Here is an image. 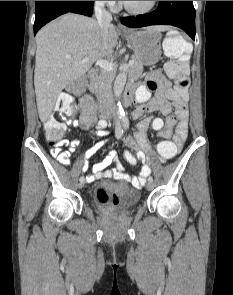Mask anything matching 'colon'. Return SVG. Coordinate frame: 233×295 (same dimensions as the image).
Listing matches in <instances>:
<instances>
[{"mask_svg": "<svg viewBox=\"0 0 233 295\" xmlns=\"http://www.w3.org/2000/svg\"><path fill=\"white\" fill-rule=\"evenodd\" d=\"M163 50L167 57L165 71L175 82L172 88L174 94L187 92L190 85L188 64L192 53L190 41L183 34L170 31L164 38ZM85 86L86 79L79 78L67 88L68 93H63L58 97L53 113L44 124L46 138L50 145L56 146L60 144V140L67 128L61 118L63 116H71L74 113L71 94H81ZM159 135L165 139L158 144L159 154L165 159L173 157L177 152V148L172 141L167 140L170 130L165 128ZM123 158L129 166H135L137 164L136 156L128 150L124 151ZM98 199L101 203H107L109 196L104 190L100 189Z\"/></svg>", "mask_w": 233, "mask_h": 295, "instance_id": "colon-1", "label": "colon"}]
</instances>
